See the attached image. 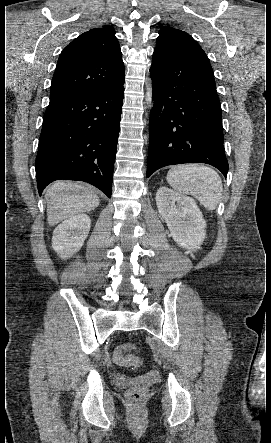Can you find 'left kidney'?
Wrapping results in <instances>:
<instances>
[{"instance_id": "obj_1", "label": "left kidney", "mask_w": 271, "mask_h": 443, "mask_svg": "<svg viewBox=\"0 0 271 443\" xmlns=\"http://www.w3.org/2000/svg\"><path fill=\"white\" fill-rule=\"evenodd\" d=\"M156 204L159 216L167 223L174 241L187 249L185 253L201 249L206 222L196 202L161 186L156 194Z\"/></svg>"}]
</instances>
